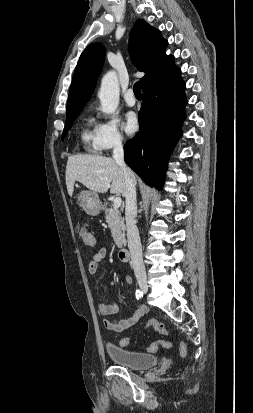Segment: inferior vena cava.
I'll return each mask as SVG.
<instances>
[{
  "label": "inferior vena cava",
  "instance_id": "1",
  "mask_svg": "<svg viewBox=\"0 0 253 413\" xmlns=\"http://www.w3.org/2000/svg\"><path fill=\"white\" fill-rule=\"evenodd\" d=\"M113 159L122 168L126 183V190L124 193L126 199L125 219L128 247L131 253L132 266L137 277L145 278L146 271L142 257V246L135 221L137 215L135 182L132 178L131 170L126 166L124 162V150L120 138H116L114 141Z\"/></svg>",
  "mask_w": 253,
  "mask_h": 413
}]
</instances>
